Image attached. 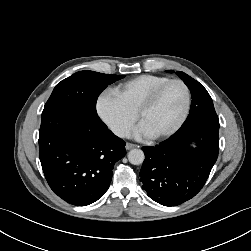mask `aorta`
Segmentation results:
<instances>
[{
	"mask_svg": "<svg viewBox=\"0 0 251 251\" xmlns=\"http://www.w3.org/2000/svg\"><path fill=\"white\" fill-rule=\"evenodd\" d=\"M145 159L144 152L141 149H132L128 153V160L133 165H140Z\"/></svg>",
	"mask_w": 251,
	"mask_h": 251,
	"instance_id": "1",
	"label": "aorta"
}]
</instances>
